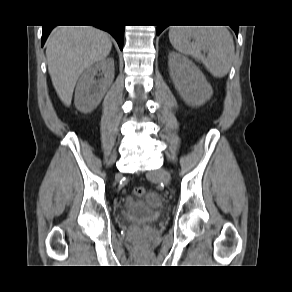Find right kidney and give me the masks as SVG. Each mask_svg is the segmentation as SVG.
Returning <instances> with one entry per match:
<instances>
[{
    "label": "right kidney",
    "mask_w": 292,
    "mask_h": 292,
    "mask_svg": "<svg viewBox=\"0 0 292 292\" xmlns=\"http://www.w3.org/2000/svg\"><path fill=\"white\" fill-rule=\"evenodd\" d=\"M102 72L103 77L95 76ZM114 80V59L106 58L88 67L81 75L75 90V106L83 112L94 110Z\"/></svg>",
    "instance_id": "ca27d5eb"
}]
</instances>
